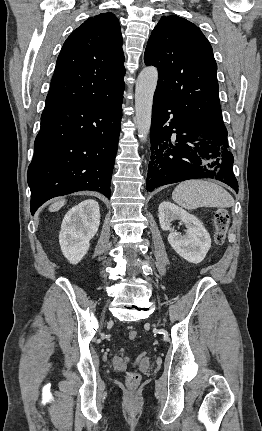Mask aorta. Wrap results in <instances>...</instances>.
I'll return each instance as SVG.
<instances>
[{"label":"aorta","mask_w":262,"mask_h":431,"mask_svg":"<svg viewBox=\"0 0 262 431\" xmlns=\"http://www.w3.org/2000/svg\"><path fill=\"white\" fill-rule=\"evenodd\" d=\"M158 82V70L146 67L138 75L135 89V120L139 138L147 140L151 127L153 96Z\"/></svg>","instance_id":"obj_1"}]
</instances>
